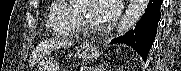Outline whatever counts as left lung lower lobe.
I'll return each mask as SVG.
<instances>
[{
  "label": "left lung lower lobe",
  "mask_w": 181,
  "mask_h": 71,
  "mask_svg": "<svg viewBox=\"0 0 181 71\" xmlns=\"http://www.w3.org/2000/svg\"><path fill=\"white\" fill-rule=\"evenodd\" d=\"M162 2L163 0H150L144 16L138 21L135 28L124 36L113 39L111 43H124L131 46L145 61L156 36Z\"/></svg>",
  "instance_id": "obj_1"
}]
</instances>
